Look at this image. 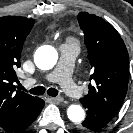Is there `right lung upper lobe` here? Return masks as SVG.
<instances>
[{"mask_svg":"<svg viewBox=\"0 0 133 133\" xmlns=\"http://www.w3.org/2000/svg\"><path fill=\"white\" fill-rule=\"evenodd\" d=\"M33 24V19L25 17L0 18V127L12 122L38 98L16 89L19 80L15 70L20 67L23 43Z\"/></svg>","mask_w":133,"mask_h":133,"instance_id":"obj_1","label":"right lung upper lobe"}]
</instances>
